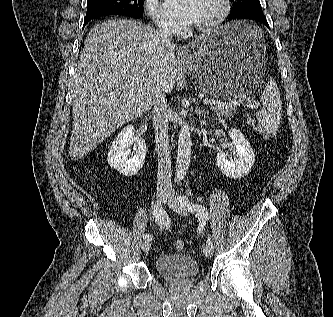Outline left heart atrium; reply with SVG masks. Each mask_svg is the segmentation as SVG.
I'll return each instance as SVG.
<instances>
[{"label":"left heart atrium","mask_w":333,"mask_h":317,"mask_svg":"<svg viewBox=\"0 0 333 317\" xmlns=\"http://www.w3.org/2000/svg\"><path fill=\"white\" fill-rule=\"evenodd\" d=\"M165 15L177 25H192L198 17L199 0H164Z\"/></svg>","instance_id":"39dd6f15"}]
</instances>
